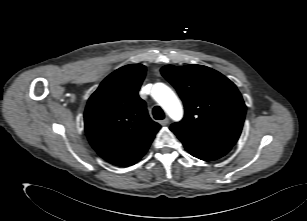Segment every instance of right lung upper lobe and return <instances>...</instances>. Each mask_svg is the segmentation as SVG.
Returning <instances> with one entry per match:
<instances>
[{
    "mask_svg": "<svg viewBox=\"0 0 307 221\" xmlns=\"http://www.w3.org/2000/svg\"><path fill=\"white\" fill-rule=\"evenodd\" d=\"M145 73L141 64L123 66L107 76L88 100L87 138L98 155L113 165L138 162L160 129L138 96Z\"/></svg>",
    "mask_w": 307,
    "mask_h": 221,
    "instance_id": "cb5924a9",
    "label": "right lung upper lobe"
}]
</instances>
